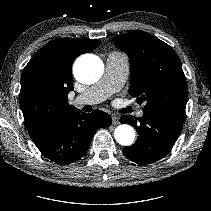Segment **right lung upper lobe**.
Here are the masks:
<instances>
[{
	"label": "right lung upper lobe",
	"instance_id": "cb5924a9",
	"mask_svg": "<svg viewBox=\"0 0 211 211\" xmlns=\"http://www.w3.org/2000/svg\"><path fill=\"white\" fill-rule=\"evenodd\" d=\"M100 44V40L58 38L38 50L26 65L19 101L33 142L79 110L68 104V93L73 90L72 64L79 55Z\"/></svg>",
	"mask_w": 211,
	"mask_h": 211
}]
</instances>
